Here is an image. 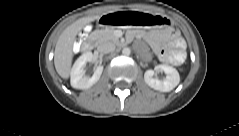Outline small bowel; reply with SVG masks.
Returning <instances> with one entry per match:
<instances>
[{"instance_id":"1","label":"small bowel","mask_w":239,"mask_h":136,"mask_svg":"<svg viewBox=\"0 0 239 136\" xmlns=\"http://www.w3.org/2000/svg\"><path fill=\"white\" fill-rule=\"evenodd\" d=\"M169 37L173 39V48L172 52H168L165 49L159 51V58L161 61L168 64H179L184 60V41L178 36L176 31L168 33Z\"/></svg>"}]
</instances>
